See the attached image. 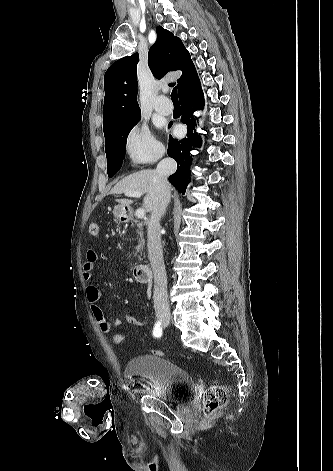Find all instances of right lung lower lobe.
<instances>
[{
  "label": "right lung lower lobe",
  "mask_w": 333,
  "mask_h": 471,
  "mask_svg": "<svg viewBox=\"0 0 333 471\" xmlns=\"http://www.w3.org/2000/svg\"><path fill=\"white\" fill-rule=\"evenodd\" d=\"M179 99L182 108L181 122L187 125V136L180 141L170 136L167 153L177 162V170L169 176V181L180 193L184 194L189 183L190 150L202 143L200 136L194 132L196 123L193 113L204 106V97L197 76L180 94ZM169 126H171V123Z\"/></svg>",
  "instance_id": "obj_1"
}]
</instances>
